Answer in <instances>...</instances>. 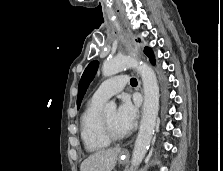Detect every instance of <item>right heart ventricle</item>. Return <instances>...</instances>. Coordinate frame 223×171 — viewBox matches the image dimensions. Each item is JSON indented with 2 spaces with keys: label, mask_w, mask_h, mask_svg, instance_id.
<instances>
[{
  "label": "right heart ventricle",
  "mask_w": 223,
  "mask_h": 171,
  "mask_svg": "<svg viewBox=\"0 0 223 171\" xmlns=\"http://www.w3.org/2000/svg\"><path fill=\"white\" fill-rule=\"evenodd\" d=\"M104 101L93 97L87 103L80 117V136L87 152H100L110 146L100 127L101 106Z\"/></svg>",
  "instance_id": "e07e8e85"
}]
</instances>
